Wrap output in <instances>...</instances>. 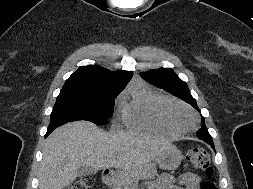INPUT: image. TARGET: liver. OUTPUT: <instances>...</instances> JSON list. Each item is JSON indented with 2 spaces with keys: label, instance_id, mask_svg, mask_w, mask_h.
I'll return each instance as SVG.
<instances>
[{
  "label": "liver",
  "instance_id": "1",
  "mask_svg": "<svg viewBox=\"0 0 253 189\" xmlns=\"http://www.w3.org/2000/svg\"><path fill=\"white\" fill-rule=\"evenodd\" d=\"M174 146L167 140L135 131L105 132L88 121L67 123L47 139L39 171V189H63L76 180L81 166L96 171L118 168L127 189H137L149 163Z\"/></svg>",
  "mask_w": 253,
  "mask_h": 189
}]
</instances>
